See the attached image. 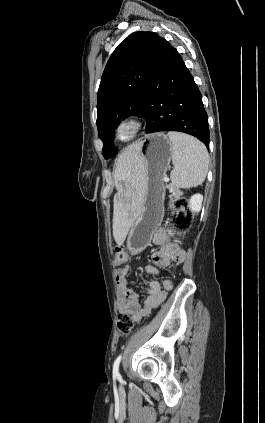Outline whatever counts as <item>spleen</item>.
Instances as JSON below:
<instances>
[{
	"label": "spleen",
	"mask_w": 265,
	"mask_h": 423,
	"mask_svg": "<svg viewBox=\"0 0 265 423\" xmlns=\"http://www.w3.org/2000/svg\"><path fill=\"white\" fill-rule=\"evenodd\" d=\"M172 142L171 182L178 188H190L201 184L207 175L209 155L203 143L189 135L168 132Z\"/></svg>",
	"instance_id": "1"
}]
</instances>
